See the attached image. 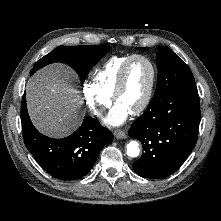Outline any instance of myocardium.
Instances as JSON below:
<instances>
[{
	"mask_svg": "<svg viewBox=\"0 0 221 221\" xmlns=\"http://www.w3.org/2000/svg\"><path fill=\"white\" fill-rule=\"evenodd\" d=\"M136 59H142L149 65L150 70H151V79H150V84H149L147 93H146L143 101L133 112H131L132 115H139L148 107V105L150 104V101L153 97L155 84H156V78H157L156 66L149 57H147L146 55H143V54L132 55L131 57H129L125 61V63L123 64V66L120 70L117 84H116V87H115V90H114V93L112 96L113 102L116 103L118 97L122 93V91L125 87V84H126V77H127L128 68H129L130 64Z\"/></svg>",
	"mask_w": 221,
	"mask_h": 221,
	"instance_id": "obj_1",
	"label": "myocardium"
}]
</instances>
